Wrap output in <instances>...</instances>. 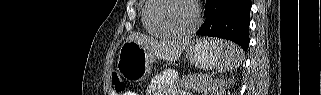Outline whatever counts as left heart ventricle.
<instances>
[{
  "mask_svg": "<svg viewBox=\"0 0 321 95\" xmlns=\"http://www.w3.org/2000/svg\"><path fill=\"white\" fill-rule=\"evenodd\" d=\"M153 15L160 24L179 31L188 29L194 21L191 5L182 0L161 2Z\"/></svg>",
  "mask_w": 321,
  "mask_h": 95,
  "instance_id": "obj_1",
  "label": "left heart ventricle"
}]
</instances>
